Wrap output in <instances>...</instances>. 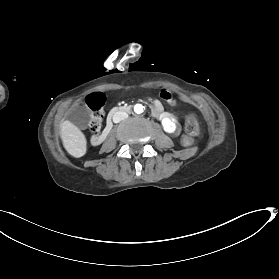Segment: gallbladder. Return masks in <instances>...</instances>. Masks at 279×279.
<instances>
[{
  "instance_id": "gallbladder-1",
  "label": "gallbladder",
  "mask_w": 279,
  "mask_h": 279,
  "mask_svg": "<svg viewBox=\"0 0 279 279\" xmlns=\"http://www.w3.org/2000/svg\"><path fill=\"white\" fill-rule=\"evenodd\" d=\"M93 115L91 108L84 106L73 107L69 109L67 117L69 121L78 126L80 130L85 131L89 127V121Z\"/></svg>"
}]
</instances>
